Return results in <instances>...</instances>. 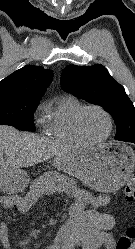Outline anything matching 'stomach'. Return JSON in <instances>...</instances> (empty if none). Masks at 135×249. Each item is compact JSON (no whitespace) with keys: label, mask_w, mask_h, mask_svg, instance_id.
Instances as JSON below:
<instances>
[{"label":"stomach","mask_w":135,"mask_h":249,"mask_svg":"<svg viewBox=\"0 0 135 249\" xmlns=\"http://www.w3.org/2000/svg\"><path fill=\"white\" fill-rule=\"evenodd\" d=\"M58 171L78 178L89 188L99 192H113L128 180L135 167V151L128 145L105 143L96 147L76 149L53 161ZM53 178L49 187L56 186L58 173L48 174ZM2 181V179H0ZM29 178L20 168L6 169L3 181L16 190L23 188Z\"/></svg>","instance_id":"1"}]
</instances>
